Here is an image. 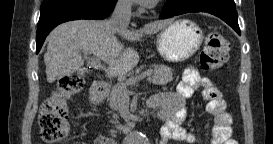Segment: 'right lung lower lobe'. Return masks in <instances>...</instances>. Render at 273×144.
Listing matches in <instances>:
<instances>
[{
	"label": "right lung lower lobe",
	"mask_w": 273,
	"mask_h": 144,
	"mask_svg": "<svg viewBox=\"0 0 273 144\" xmlns=\"http://www.w3.org/2000/svg\"><path fill=\"white\" fill-rule=\"evenodd\" d=\"M117 0H44L37 26L38 53L50 31L70 20L103 19L114 9Z\"/></svg>",
	"instance_id": "right-lung-lower-lobe-1"
}]
</instances>
